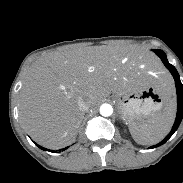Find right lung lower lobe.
Returning a JSON list of instances; mask_svg holds the SVG:
<instances>
[{"label":"right lung lower lobe","mask_w":183,"mask_h":183,"mask_svg":"<svg viewBox=\"0 0 183 183\" xmlns=\"http://www.w3.org/2000/svg\"><path fill=\"white\" fill-rule=\"evenodd\" d=\"M37 145V144H36ZM39 148H41L42 150H47V151H50V152H55V151H53V150H49V149H46V148H44V147H41V146H39V145H37ZM68 147H66V148H64V149H61V150H58L59 152H61V151H64V150H66Z\"/></svg>","instance_id":"obj_1"}]
</instances>
